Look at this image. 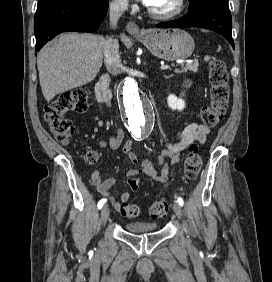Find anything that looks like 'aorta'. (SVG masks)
<instances>
[{"instance_id":"aorta-1","label":"aorta","mask_w":272,"mask_h":282,"mask_svg":"<svg viewBox=\"0 0 272 282\" xmlns=\"http://www.w3.org/2000/svg\"><path fill=\"white\" fill-rule=\"evenodd\" d=\"M120 102L129 132L135 138L146 137L152 130L155 113L140 83L127 77L120 87Z\"/></svg>"}]
</instances>
